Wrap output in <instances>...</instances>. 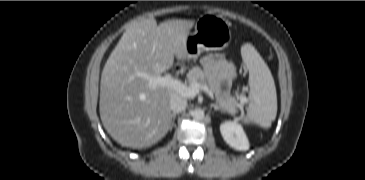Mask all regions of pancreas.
<instances>
[{
	"instance_id": "pancreas-1",
	"label": "pancreas",
	"mask_w": 365,
	"mask_h": 180,
	"mask_svg": "<svg viewBox=\"0 0 365 180\" xmlns=\"http://www.w3.org/2000/svg\"><path fill=\"white\" fill-rule=\"evenodd\" d=\"M187 78L189 84L193 82L204 84L207 81V76L205 72L198 66H195L191 70H189ZM215 96L216 102L219 104L220 108L223 111L233 113L235 112V108L239 106L238 101L234 97L230 96V94L227 92L222 93L221 91L217 90L215 91Z\"/></svg>"
}]
</instances>
